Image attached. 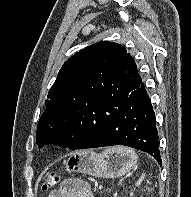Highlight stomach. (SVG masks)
<instances>
[{
  "mask_svg": "<svg viewBox=\"0 0 191 197\" xmlns=\"http://www.w3.org/2000/svg\"><path fill=\"white\" fill-rule=\"evenodd\" d=\"M135 162L128 155L120 154L113 148L97 154L82 150L72 154L66 161L68 172H80L104 178H118L131 170Z\"/></svg>",
  "mask_w": 191,
  "mask_h": 197,
  "instance_id": "1",
  "label": "stomach"
}]
</instances>
